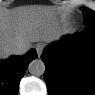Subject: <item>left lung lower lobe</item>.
Instances as JSON below:
<instances>
[{
	"label": "left lung lower lobe",
	"mask_w": 95,
	"mask_h": 95,
	"mask_svg": "<svg viewBox=\"0 0 95 95\" xmlns=\"http://www.w3.org/2000/svg\"><path fill=\"white\" fill-rule=\"evenodd\" d=\"M41 58L50 95H95V25L51 44Z\"/></svg>",
	"instance_id": "0a47b994"
}]
</instances>
